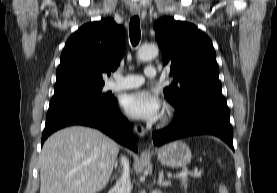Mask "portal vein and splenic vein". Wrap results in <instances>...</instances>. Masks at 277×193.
<instances>
[{"instance_id": "1", "label": "portal vein and splenic vein", "mask_w": 277, "mask_h": 193, "mask_svg": "<svg viewBox=\"0 0 277 193\" xmlns=\"http://www.w3.org/2000/svg\"><path fill=\"white\" fill-rule=\"evenodd\" d=\"M193 173H194V174H196V175H198V174H199V172H198V171H194ZM188 174H189V172H188V171H183V172H181V173L177 174V175L175 176V178H185V177H187V176H188Z\"/></svg>"}]
</instances>
